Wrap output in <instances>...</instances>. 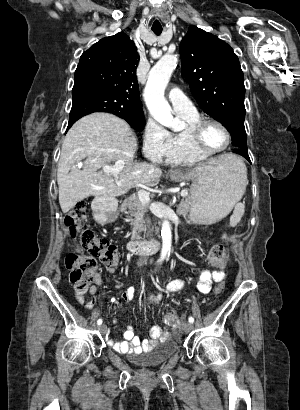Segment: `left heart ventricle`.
Masks as SVG:
<instances>
[{
  "label": "left heart ventricle",
  "instance_id": "1",
  "mask_svg": "<svg viewBox=\"0 0 300 410\" xmlns=\"http://www.w3.org/2000/svg\"><path fill=\"white\" fill-rule=\"evenodd\" d=\"M203 143L208 149L222 148L227 141L224 131L216 124H207L202 131Z\"/></svg>",
  "mask_w": 300,
  "mask_h": 410
}]
</instances>
